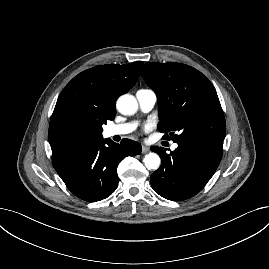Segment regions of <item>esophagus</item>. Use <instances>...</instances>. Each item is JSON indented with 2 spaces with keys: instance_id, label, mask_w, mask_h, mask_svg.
<instances>
[{
  "instance_id": "esophagus-1",
  "label": "esophagus",
  "mask_w": 269,
  "mask_h": 269,
  "mask_svg": "<svg viewBox=\"0 0 269 269\" xmlns=\"http://www.w3.org/2000/svg\"><path fill=\"white\" fill-rule=\"evenodd\" d=\"M149 152V147L146 145H142V153H147Z\"/></svg>"
}]
</instances>
